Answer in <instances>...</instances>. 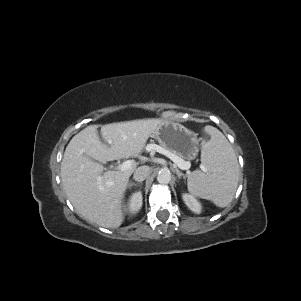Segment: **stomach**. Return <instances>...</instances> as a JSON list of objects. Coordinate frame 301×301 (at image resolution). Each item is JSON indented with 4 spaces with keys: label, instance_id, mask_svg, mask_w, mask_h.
<instances>
[{
    "label": "stomach",
    "instance_id": "stomach-1",
    "mask_svg": "<svg viewBox=\"0 0 301 301\" xmlns=\"http://www.w3.org/2000/svg\"><path fill=\"white\" fill-rule=\"evenodd\" d=\"M159 144L187 160H194L199 152L197 134L180 123L164 122L154 132Z\"/></svg>",
    "mask_w": 301,
    "mask_h": 301
}]
</instances>
